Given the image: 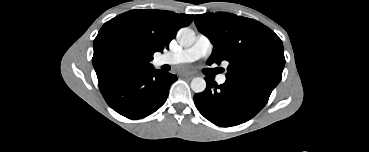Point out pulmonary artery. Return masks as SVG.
<instances>
[{"label": "pulmonary artery", "mask_w": 369, "mask_h": 152, "mask_svg": "<svg viewBox=\"0 0 369 152\" xmlns=\"http://www.w3.org/2000/svg\"><path fill=\"white\" fill-rule=\"evenodd\" d=\"M212 43L205 35H198L195 43L187 48L178 52L167 53L159 58V64H179L193 62L201 57L207 56L212 52ZM226 76L224 74L219 75L217 82L224 84Z\"/></svg>", "instance_id": "1"}]
</instances>
